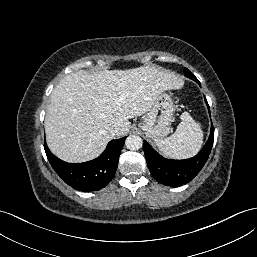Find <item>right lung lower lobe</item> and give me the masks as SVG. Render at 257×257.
<instances>
[{
    "mask_svg": "<svg viewBox=\"0 0 257 257\" xmlns=\"http://www.w3.org/2000/svg\"><path fill=\"white\" fill-rule=\"evenodd\" d=\"M125 139L110 141L98 158L80 164L60 160L50 152L46 143L44 149L51 166L65 183L79 191H96L113 178Z\"/></svg>",
    "mask_w": 257,
    "mask_h": 257,
    "instance_id": "1",
    "label": "right lung lower lobe"
}]
</instances>
